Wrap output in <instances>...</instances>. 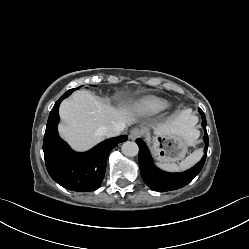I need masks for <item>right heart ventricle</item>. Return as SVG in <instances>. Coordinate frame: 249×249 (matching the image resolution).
Listing matches in <instances>:
<instances>
[{
    "label": "right heart ventricle",
    "mask_w": 249,
    "mask_h": 249,
    "mask_svg": "<svg viewBox=\"0 0 249 249\" xmlns=\"http://www.w3.org/2000/svg\"><path fill=\"white\" fill-rule=\"evenodd\" d=\"M139 107L148 113H157L168 107V102L154 96H149L142 99L139 103Z\"/></svg>",
    "instance_id": "obj_1"
}]
</instances>
